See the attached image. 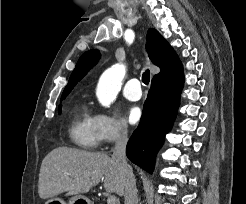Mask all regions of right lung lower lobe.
<instances>
[{
    "label": "right lung lower lobe",
    "mask_w": 246,
    "mask_h": 204,
    "mask_svg": "<svg viewBox=\"0 0 246 204\" xmlns=\"http://www.w3.org/2000/svg\"><path fill=\"white\" fill-rule=\"evenodd\" d=\"M182 86V66L154 76L141 122L127 144V157L149 173L153 171L164 136L172 127Z\"/></svg>",
    "instance_id": "obj_1"
}]
</instances>
